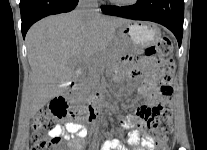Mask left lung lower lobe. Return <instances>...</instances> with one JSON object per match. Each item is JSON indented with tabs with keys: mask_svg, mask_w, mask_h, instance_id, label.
<instances>
[{
	"mask_svg": "<svg viewBox=\"0 0 207 150\" xmlns=\"http://www.w3.org/2000/svg\"><path fill=\"white\" fill-rule=\"evenodd\" d=\"M105 14L134 20H147L164 25L178 40L179 47L183 35V0H139L132 6H102Z\"/></svg>",
	"mask_w": 207,
	"mask_h": 150,
	"instance_id": "1",
	"label": "left lung lower lobe"
}]
</instances>
